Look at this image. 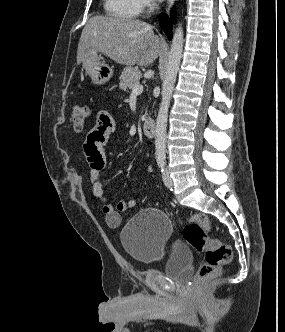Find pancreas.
Listing matches in <instances>:
<instances>
[{
    "label": "pancreas",
    "instance_id": "pancreas-1",
    "mask_svg": "<svg viewBox=\"0 0 285 332\" xmlns=\"http://www.w3.org/2000/svg\"><path fill=\"white\" fill-rule=\"evenodd\" d=\"M142 77L141 71L138 67H127L121 74L119 87L124 91L132 89L135 85L140 83Z\"/></svg>",
    "mask_w": 285,
    "mask_h": 332
}]
</instances>
